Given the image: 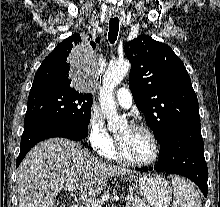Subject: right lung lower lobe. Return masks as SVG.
I'll list each match as a JSON object with an SVG mask.
<instances>
[{"mask_svg": "<svg viewBox=\"0 0 220 207\" xmlns=\"http://www.w3.org/2000/svg\"><path fill=\"white\" fill-rule=\"evenodd\" d=\"M87 130L88 127L85 125L51 120H32L24 124L20 154L16 161V167L19 166L27 152L38 142L53 137H63L79 141L86 137Z\"/></svg>", "mask_w": 220, "mask_h": 207, "instance_id": "obj_1", "label": "right lung lower lobe"}]
</instances>
